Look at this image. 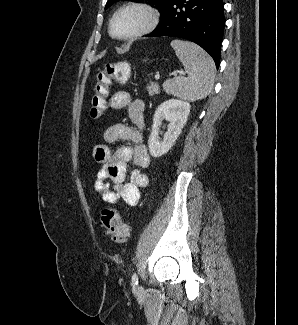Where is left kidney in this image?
Returning a JSON list of instances; mask_svg holds the SVG:
<instances>
[{
	"label": "left kidney",
	"instance_id": "left-kidney-1",
	"mask_svg": "<svg viewBox=\"0 0 298 325\" xmlns=\"http://www.w3.org/2000/svg\"><path fill=\"white\" fill-rule=\"evenodd\" d=\"M190 108V102L179 100V98H169L157 106L153 116L151 134L148 138L151 156L158 158L170 150L177 136L182 132L184 124H186ZM162 120H169V124L163 138H160L159 130Z\"/></svg>",
	"mask_w": 298,
	"mask_h": 325
}]
</instances>
